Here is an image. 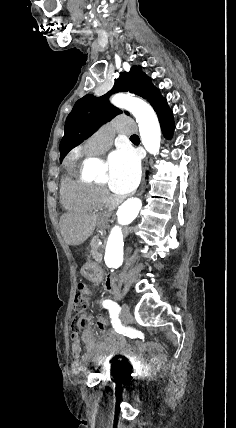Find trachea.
<instances>
[{
	"label": "trachea",
	"instance_id": "1",
	"mask_svg": "<svg viewBox=\"0 0 236 428\" xmlns=\"http://www.w3.org/2000/svg\"><path fill=\"white\" fill-rule=\"evenodd\" d=\"M130 138H132V139H139L138 135H132Z\"/></svg>",
	"mask_w": 236,
	"mask_h": 428
}]
</instances>
